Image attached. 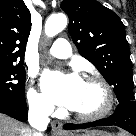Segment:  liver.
<instances>
[{"instance_id": "liver-1", "label": "liver", "mask_w": 136, "mask_h": 136, "mask_svg": "<svg viewBox=\"0 0 136 136\" xmlns=\"http://www.w3.org/2000/svg\"><path fill=\"white\" fill-rule=\"evenodd\" d=\"M0 136H32V131L19 121L0 114Z\"/></svg>"}]
</instances>
